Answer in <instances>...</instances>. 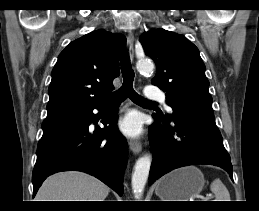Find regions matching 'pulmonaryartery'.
Listing matches in <instances>:
<instances>
[{
  "mask_svg": "<svg viewBox=\"0 0 259 211\" xmlns=\"http://www.w3.org/2000/svg\"><path fill=\"white\" fill-rule=\"evenodd\" d=\"M145 97L149 100H159V101L164 100V94L162 93V91L156 89L152 85L147 86L145 90ZM167 109L169 112L172 111V109L169 106L167 107Z\"/></svg>",
  "mask_w": 259,
  "mask_h": 211,
  "instance_id": "1",
  "label": "pulmonary artery"
}]
</instances>
